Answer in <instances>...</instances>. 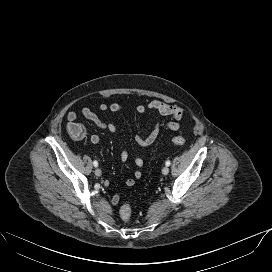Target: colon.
Wrapping results in <instances>:
<instances>
[{"instance_id": "1", "label": "colon", "mask_w": 272, "mask_h": 272, "mask_svg": "<svg viewBox=\"0 0 272 272\" xmlns=\"http://www.w3.org/2000/svg\"><path fill=\"white\" fill-rule=\"evenodd\" d=\"M67 130L69 135L76 140L82 139L86 135V130L84 126L76 122L69 123L67 126ZM172 141L175 145L179 146L185 143V139L182 136H175ZM131 211V206L129 204H124L121 206L120 216L124 222H127L130 219Z\"/></svg>"}]
</instances>
